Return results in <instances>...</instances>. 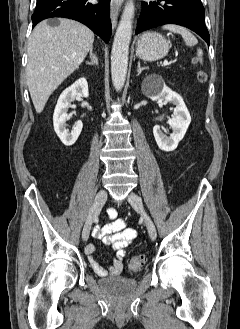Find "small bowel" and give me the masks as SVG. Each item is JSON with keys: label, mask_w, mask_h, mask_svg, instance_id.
Segmentation results:
<instances>
[{"label": "small bowel", "mask_w": 240, "mask_h": 329, "mask_svg": "<svg viewBox=\"0 0 240 329\" xmlns=\"http://www.w3.org/2000/svg\"><path fill=\"white\" fill-rule=\"evenodd\" d=\"M110 222L97 226L94 235L106 246L111 247L114 252L112 263L108 268L103 267L94 257L96 245L90 243L85 252L88 255L89 263L94 272L99 276H118L124 267L123 259L126 255V247L129 246L137 236L135 229L127 226L126 222L117 218L115 209L108 210Z\"/></svg>", "instance_id": "small-bowel-1"}]
</instances>
